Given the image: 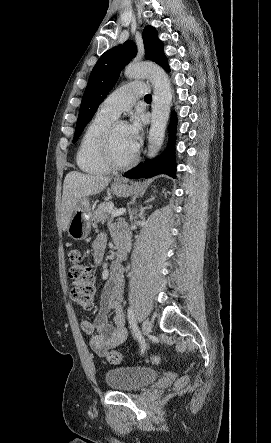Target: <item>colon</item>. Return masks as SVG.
Instances as JSON below:
<instances>
[{
	"label": "colon",
	"mask_w": 271,
	"mask_h": 443,
	"mask_svg": "<svg viewBox=\"0 0 271 443\" xmlns=\"http://www.w3.org/2000/svg\"><path fill=\"white\" fill-rule=\"evenodd\" d=\"M86 258L87 255L79 250L70 251L69 260L72 266L69 270V277L72 279L71 297L74 303L84 309H91L94 305L95 285L92 266ZM106 358L111 364H119L124 360L123 355L117 351H109ZM151 360L159 363L160 358L154 356ZM187 380V376L181 377L176 383L177 387H183Z\"/></svg>",
	"instance_id": "1"
}]
</instances>
